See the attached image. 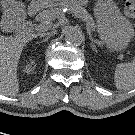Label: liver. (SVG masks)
<instances>
[{
	"label": "liver",
	"mask_w": 135,
	"mask_h": 135,
	"mask_svg": "<svg viewBox=\"0 0 135 135\" xmlns=\"http://www.w3.org/2000/svg\"><path fill=\"white\" fill-rule=\"evenodd\" d=\"M31 38L0 35V93L15 96L19 92L17 66L21 53Z\"/></svg>",
	"instance_id": "6515ba94"
}]
</instances>
